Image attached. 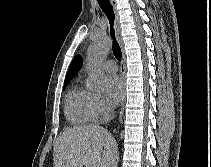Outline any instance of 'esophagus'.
<instances>
[{
	"label": "esophagus",
	"instance_id": "1",
	"mask_svg": "<svg viewBox=\"0 0 211 167\" xmlns=\"http://www.w3.org/2000/svg\"><path fill=\"white\" fill-rule=\"evenodd\" d=\"M110 3L114 9L115 16H116L115 28H116L117 38H118V41H119L121 47L123 48L121 28H120V23H119V15H118V10H117L116 0H110ZM121 76H122V81H123V95H122L121 107H120V111H119V121L122 120V116L124 113L125 95H126V65H125V54H124L123 49H122Z\"/></svg>",
	"mask_w": 211,
	"mask_h": 167
}]
</instances>
